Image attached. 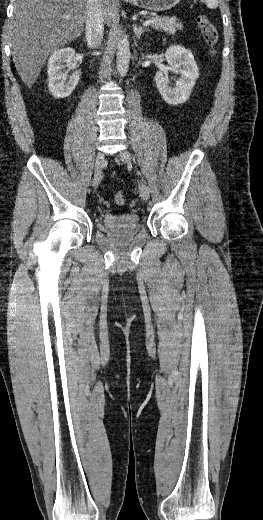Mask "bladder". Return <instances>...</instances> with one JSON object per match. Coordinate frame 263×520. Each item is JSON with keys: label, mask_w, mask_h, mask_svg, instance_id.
I'll return each mask as SVG.
<instances>
[{"label": "bladder", "mask_w": 263, "mask_h": 520, "mask_svg": "<svg viewBox=\"0 0 263 520\" xmlns=\"http://www.w3.org/2000/svg\"><path fill=\"white\" fill-rule=\"evenodd\" d=\"M103 224L112 232H128L140 226V217L136 213L107 214L103 217Z\"/></svg>", "instance_id": "obj_1"}]
</instances>
